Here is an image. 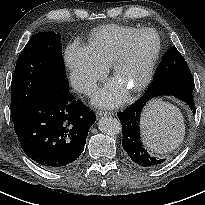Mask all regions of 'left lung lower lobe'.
Wrapping results in <instances>:
<instances>
[{"instance_id": "0a47b994", "label": "left lung lower lobe", "mask_w": 205, "mask_h": 205, "mask_svg": "<svg viewBox=\"0 0 205 205\" xmlns=\"http://www.w3.org/2000/svg\"><path fill=\"white\" fill-rule=\"evenodd\" d=\"M194 79L190 72L179 73L153 80L144 95L123 113L118 114L122 124L124 150L136 164L143 167H156L165 159L153 157L143 148L140 140V121L144 107L155 97L172 95L186 102L195 114L192 97Z\"/></svg>"}]
</instances>
